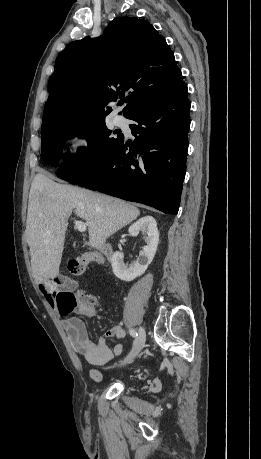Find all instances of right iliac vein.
Listing matches in <instances>:
<instances>
[{
  "instance_id": "1",
  "label": "right iliac vein",
  "mask_w": 261,
  "mask_h": 459,
  "mask_svg": "<svg viewBox=\"0 0 261 459\" xmlns=\"http://www.w3.org/2000/svg\"><path fill=\"white\" fill-rule=\"evenodd\" d=\"M145 339H146L145 329L143 327H140L139 328V335L136 338L134 347H133L132 351L130 352V354L124 360L121 361V363H120L121 366L130 364V363H132L134 361V359L136 358L138 353L144 347Z\"/></svg>"
}]
</instances>
